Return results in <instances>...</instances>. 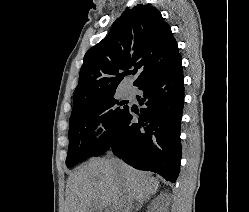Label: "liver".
Returning <instances> with one entry per match:
<instances>
[{"label":"liver","mask_w":249,"mask_h":212,"mask_svg":"<svg viewBox=\"0 0 249 212\" xmlns=\"http://www.w3.org/2000/svg\"><path fill=\"white\" fill-rule=\"evenodd\" d=\"M159 184L156 178L145 176L144 172L134 170L121 160L92 158L74 170L67 180V212H97L100 206L122 212L121 194L127 196L131 204L146 202L158 192Z\"/></svg>","instance_id":"liver-1"}]
</instances>
